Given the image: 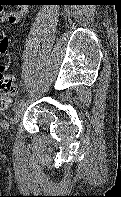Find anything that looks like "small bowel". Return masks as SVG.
I'll return each instance as SVG.
<instances>
[{"label": "small bowel", "mask_w": 121, "mask_h": 197, "mask_svg": "<svg viewBox=\"0 0 121 197\" xmlns=\"http://www.w3.org/2000/svg\"><path fill=\"white\" fill-rule=\"evenodd\" d=\"M28 12V8L25 5H19L15 11H6L3 7H0V24L7 21L9 23H18ZM9 45L8 39L3 36L0 41V54H5Z\"/></svg>", "instance_id": "small-bowel-1"}]
</instances>
